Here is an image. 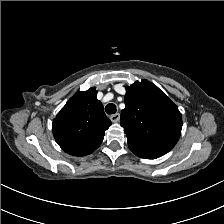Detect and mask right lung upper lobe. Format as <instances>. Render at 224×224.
<instances>
[{"label":"right lung upper lobe","mask_w":224,"mask_h":224,"mask_svg":"<svg viewBox=\"0 0 224 224\" xmlns=\"http://www.w3.org/2000/svg\"><path fill=\"white\" fill-rule=\"evenodd\" d=\"M96 88L76 93L53 120V135L58 144L69 143L77 148L78 156L92 153L103 141L111 126Z\"/></svg>","instance_id":"cb5924a9"}]
</instances>
